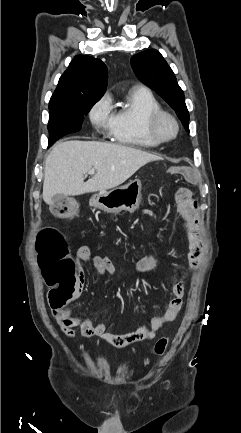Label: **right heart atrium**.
<instances>
[{"label": "right heart atrium", "instance_id": "obj_1", "mask_svg": "<svg viewBox=\"0 0 241 433\" xmlns=\"http://www.w3.org/2000/svg\"><path fill=\"white\" fill-rule=\"evenodd\" d=\"M91 123L101 130H108L112 126L113 114L109 97L105 96L98 101L89 113Z\"/></svg>", "mask_w": 241, "mask_h": 433}]
</instances>
